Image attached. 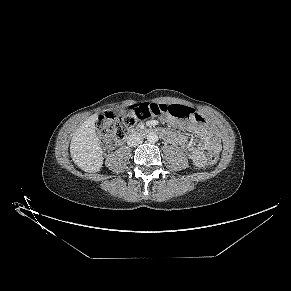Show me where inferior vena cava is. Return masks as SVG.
Masks as SVG:
<instances>
[{"instance_id": "inferior-vena-cava-1", "label": "inferior vena cava", "mask_w": 291, "mask_h": 291, "mask_svg": "<svg viewBox=\"0 0 291 291\" xmlns=\"http://www.w3.org/2000/svg\"><path fill=\"white\" fill-rule=\"evenodd\" d=\"M132 141H134V142H132ZM128 143L130 146H135V145L142 143V140L141 139L134 140L132 137H130Z\"/></svg>"}]
</instances>
